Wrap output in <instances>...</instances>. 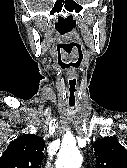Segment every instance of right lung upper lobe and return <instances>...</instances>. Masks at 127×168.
<instances>
[{
  "label": "right lung upper lobe",
  "mask_w": 127,
  "mask_h": 168,
  "mask_svg": "<svg viewBox=\"0 0 127 168\" xmlns=\"http://www.w3.org/2000/svg\"><path fill=\"white\" fill-rule=\"evenodd\" d=\"M44 146V140L37 135H22L4 151L0 168H41Z\"/></svg>",
  "instance_id": "1"
}]
</instances>
